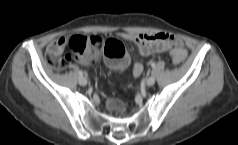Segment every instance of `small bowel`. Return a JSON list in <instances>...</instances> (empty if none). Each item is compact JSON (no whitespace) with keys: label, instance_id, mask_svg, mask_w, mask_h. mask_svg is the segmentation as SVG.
<instances>
[{"label":"small bowel","instance_id":"c3829d8e","mask_svg":"<svg viewBox=\"0 0 238 145\" xmlns=\"http://www.w3.org/2000/svg\"><path fill=\"white\" fill-rule=\"evenodd\" d=\"M120 37L126 41L134 42L143 56H151L155 53L167 52L174 49H179L185 52L180 40L168 33L156 34H130L121 33ZM65 39L60 37L53 40L48 45V52L53 55H59L63 51ZM144 70V66L140 62L133 64L132 73L134 77H139Z\"/></svg>","mask_w":238,"mask_h":145}]
</instances>
